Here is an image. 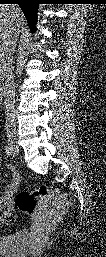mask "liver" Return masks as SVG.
I'll return each mask as SVG.
<instances>
[{
	"label": "liver",
	"mask_w": 106,
	"mask_h": 257,
	"mask_svg": "<svg viewBox=\"0 0 106 257\" xmlns=\"http://www.w3.org/2000/svg\"><path fill=\"white\" fill-rule=\"evenodd\" d=\"M24 23L21 10L14 5H1L0 8V38L3 43L12 26L20 27Z\"/></svg>",
	"instance_id": "6515ba94"
}]
</instances>
